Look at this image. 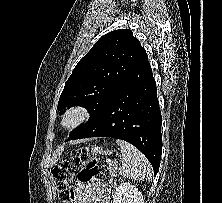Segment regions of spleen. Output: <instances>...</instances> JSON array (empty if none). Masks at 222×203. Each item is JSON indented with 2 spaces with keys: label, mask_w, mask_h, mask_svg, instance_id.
<instances>
[{
  "label": "spleen",
  "mask_w": 222,
  "mask_h": 203,
  "mask_svg": "<svg viewBox=\"0 0 222 203\" xmlns=\"http://www.w3.org/2000/svg\"><path fill=\"white\" fill-rule=\"evenodd\" d=\"M116 143L121 148L122 166L119 168V174L124 178L150 181L152 177L151 165L147 158L137 148L124 140L118 139Z\"/></svg>",
  "instance_id": "1"
}]
</instances>
